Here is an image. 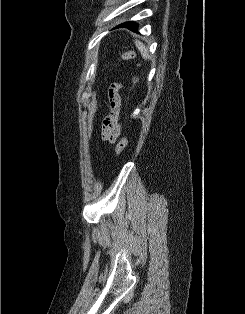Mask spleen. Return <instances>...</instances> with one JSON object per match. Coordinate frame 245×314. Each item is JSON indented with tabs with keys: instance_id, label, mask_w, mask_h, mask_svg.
<instances>
[{
	"instance_id": "spleen-1",
	"label": "spleen",
	"mask_w": 245,
	"mask_h": 314,
	"mask_svg": "<svg viewBox=\"0 0 245 314\" xmlns=\"http://www.w3.org/2000/svg\"><path fill=\"white\" fill-rule=\"evenodd\" d=\"M135 45H136L137 49L140 51L142 57H143L145 60L149 59L150 56H149V54H148V50H147V48L145 47V45H144L142 42L137 41V40L135 41Z\"/></svg>"
}]
</instances>
